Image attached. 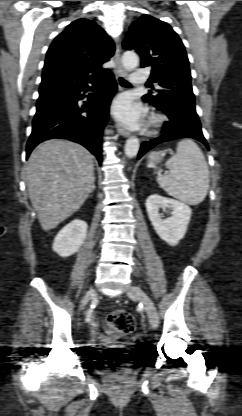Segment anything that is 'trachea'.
Returning a JSON list of instances; mask_svg holds the SVG:
<instances>
[{"label":"trachea","mask_w":242,"mask_h":416,"mask_svg":"<svg viewBox=\"0 0 242 416\" xmlns=\"http://www.w3.org/2000/svg\"><path fill=\"white\" fill-rule=\"evenodd\" d=\"M119 82H120L121 86L131 87V84L128 81H126L125 79L121 78V77L119 78ZM146 86H149V85L147 84Z\"/></svg>","instance_id":"obj_1"}]
</instances>
